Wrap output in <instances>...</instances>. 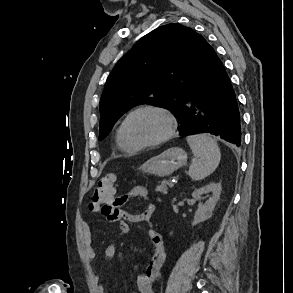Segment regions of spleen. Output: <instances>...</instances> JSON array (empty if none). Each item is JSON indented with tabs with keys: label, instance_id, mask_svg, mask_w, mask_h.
<instances>
[{
	"label": "spleen",
	"instance_id": "3e777b00",
	"mask_svg": "<svg viewBox=\"0 0 293 293\" xmlns=\"http://www.w3.org/2000/svg\"><path fill=\"white\" fill-rule=\"evenodd\" d=\"M194 156L189 168V176L193 180H202L209 176L219 165L221 159L217 142L206 134L187 136L186 138Z\"/></svg>",
	"mask_w": 293,
	"mask_h": 293
}]
</instances>
